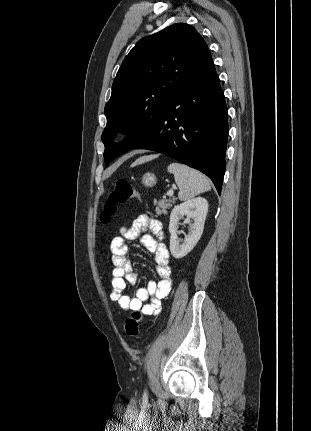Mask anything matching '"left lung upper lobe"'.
Masks as SVG:
<instances>
[{"label":"left lung upper lobe","mask_w":311,"mask_h":431,"mask_svg":"<svg viewBox=\"0 0 311 431\" xmlns=\"http://www.w3.org/2000/svg\"><path fill=\"white\" fill-rule=\"evenodd\" d=\"M209 52L202 36L184 23L139 40L125 57L105 106L102 133L106 166L145 141L169 103ZM129 133L123 143L110 142Z\"/></svg>","instance_id":"left-lung-upper-lobe-1"}]
</instances>
